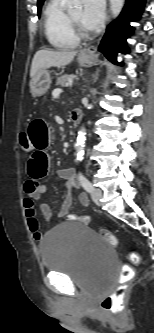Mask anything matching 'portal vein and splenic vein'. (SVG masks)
<instances>
[{"label": "portal vein and splenic vein", "mask_w": 154, "mask_h": 333, "mask_svg": "<svg viewBox=\"0 0 154 333\" xmlns=\"http://www.w3.org/2000/svg\"><path fill=\"white\" fill-rule=\"evenodd\" d=\"M60 93H61V90H54L52 94L54 97H58L60 95Z\"/></svg>", "instance_id": "portal-vein-and-splenic-vein-1"}]
</instances>
